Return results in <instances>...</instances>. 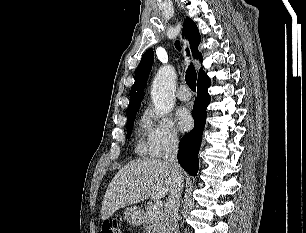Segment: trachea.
<instances>
[{"instance_id":"1","label":"trachea","mask_w":306,"mask_h":233,"mask_svg":"<svg viewBox=\"0 0 306 233\" xmlns=\"http://www.w3.org/2000/svg\"><path fill=\"white\" fill-rule=\"evenodd\" d=\"M186 50H187V55L189 56L190 55L189 50L188 49ZM196 79H197V73L193 64L191 63L186 71L185 80L187 85L193 91H196Z\"/></svg>"}]
</instances>
